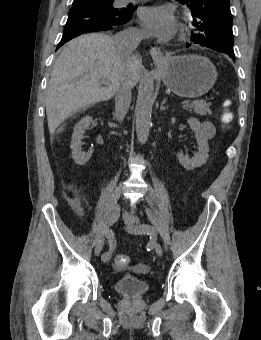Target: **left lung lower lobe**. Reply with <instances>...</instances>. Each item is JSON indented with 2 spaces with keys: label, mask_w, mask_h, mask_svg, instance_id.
<instances>
[{
  "label": "left lung lower lobe",
  "mask_w": 261,
  "mask_h": 340,
  "mask_svg": "<svg viewBox=\"0 0 261 340\" xmlns=\"http://www.w3.org/2000/svg\"><path fill=\"white\" fill-rule=\"evenodd\" d=\"M210 10H213V9H210ZM205 16H208V15L205 14V15L202 16V18L205 17ZM193 43H194V42H193ZM187 46H189V44H187ZM220 52L226 53V54H228L232 59H235V54L232 53V52H228V53H227V52H224V51H220Z\"/></svg>",
  "instance_id": "1"
}]
</instances>
